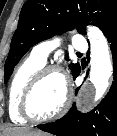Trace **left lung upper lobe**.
I'll return each instance as SVG.
<instances>
[{"instance_id":"5c2ea615","label":"left lung upper lobe","mask_w":117,"mask_h":136,"mask_svg":"<svg viewBox=\"0 0 117 136\" xmlns=\"http://www.w3.org/2000/svg\"><path fill=\"white\" fill-rule=\"evenodd\" d=\"M116 17L117 0H28L11 40L5 62V83L19 60L35 44L75 28L85 35L86 23L104 32ZM65 59L68 60L67 56ZM70 69L75 77L80 65L70 64Z\"/></svg>"}]
</instances>
